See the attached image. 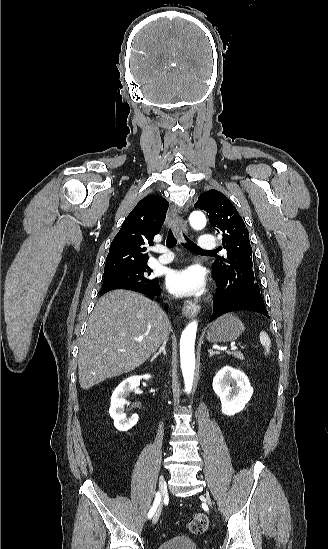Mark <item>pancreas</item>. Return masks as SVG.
Returning <instances> with one entry per match:
<instances>
[{"instance_id":"1","label":"pancreas","mask_w":328,"mask_h":549,"mask_svg":"<svg viewBox=\"0 0 328 549\" xmlns=\"http://www.w3.org/2000/svg\"><path fill=\"white\" fill-rule=\"evenodd\" d=\"M228 355H233V357H236V359L244 361V355H242V353H239V351H232V353H228Z\"/></svg>"}]
</instances>
